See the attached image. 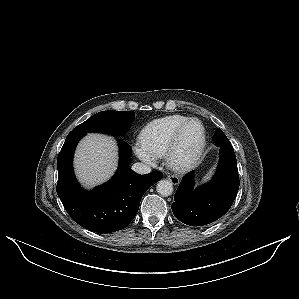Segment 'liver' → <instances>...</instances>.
Here are the masks:
<instances>
[{"instance_id":"obj_1","label":"liver","mask_w":299,"mask_h":299,"mask_svg":"<svg viewBox=\"0 0 299 299\" xmlns=\"http://www.w3.org/2000/svg\"><path fill=\"white\" fill-rule=\"evenodd\" d=\"M117 162L116 142L104 134H88L79 143L74 158L77 177L86 186H95L109 179Z\"/></svg>"}]
</instances>
